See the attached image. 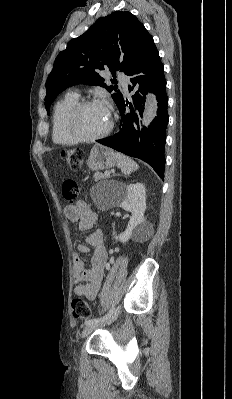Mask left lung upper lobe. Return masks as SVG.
<instances>
[{
  "label": "left lung upper lobe",
  "mask_w": 232,
  "mask_h": 399,
  "mask_svg": "<svg viewBox=\"0 0 232 399\" xmlns=\"http://www.w3.org/2000/svg\"><path fill=\"white\" fill-rule=\"evenodd\" d=\"M153 39L144 25L130 12H113L99 18L87 32L72 39L56 57L46 83L45 107L57 95L76 84L100 85L109 92L118 105L123 98L116 87L107 86L99 71L109 68L115 77L120 70L126 75L133 68L140 52ZM116 83V79H111Z\"/></svg>",
  "instance_id": "obj_1"
}]
</instances>
